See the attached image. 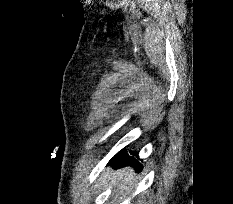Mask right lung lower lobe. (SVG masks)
<instances>
[{
    "mask_svg": "<svg viewBox=\"0 0 233 204\" xmlns=\"http://www.w3.org/2000/svg\"><path fill=\"white\" fill-rule=\"evenodd\" d=\"M110 163L114 168H121L123 166L131 165L135 168L137 172H140L143 168L142 164L133 157H129L128 153L125 150H121L120 152H118L110 160Z\"/></svg>",
    "mask_w": 233,
    "mask_h": 204,
    "instance_id": "obj_1",
    "label": "right lung lower lobe"
}]
</instances>
